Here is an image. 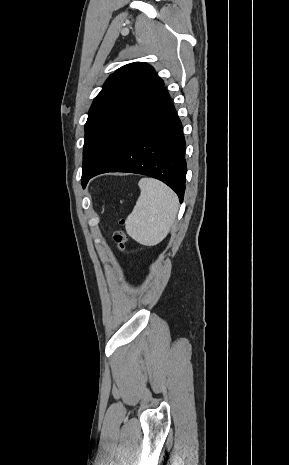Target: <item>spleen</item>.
Returning <instances> with one entry per match:
<instances>
[{
  "mask_svg": "<svg viewBox=\"0 0 289 465\" xmlns=\"http://www.w3.org/2000/svg\"><path fill=\"white\" fill-rule=\"evenodd\" d=\"M140 196L125 221L127 234L145 246L160 243L169 233L178 212V197L164 183L143 178Z\"/></svg>",
  "mask_w": 289,
  "mask_h": 465,
  "instance_id": "3e777b00",
  "label": "spleen"
}]
</instances>
